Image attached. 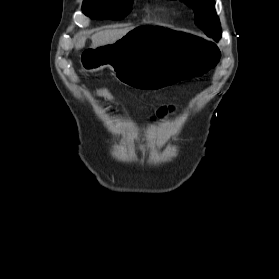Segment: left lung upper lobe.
I'll list each match as a JSON object with an SVG mask.
<instances>
[{
    "mask_svg": "<svg viewBox=\"0 0 279 279\" xmlns=\"http://www.w3.org/2000/svg\"><path fill=\"white\" fill-rule=\"evenodd\" d=\"M192 7L196 24L214 40L221 37V26L215 11L214 0H180Z\"/></svg>",
    "mask_w": 279,
    "mask_h": 279,
    "instance_id": "left-lung-upper-lobe-1",
    "label": "left lung upper lobe"
}]
</instances>
